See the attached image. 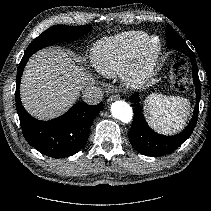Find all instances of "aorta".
Returning <instances> with one entry per match:
<instances>
[{"instance_id":"obj_1","label":"aorta","mask_w":211,"mask_h":211,"mask_svg":"<svg viewBox=\"0 0 211 211\" xmlns=\"http://www.w3.org/2000/svg\"><path fill=\"white\" fill-rule=\"evenodd\" d=\"M112 116L123 123H129L133 117V111L131 106L123 101L118 100L111 105Z\"/></svg>"}]
</instances>
